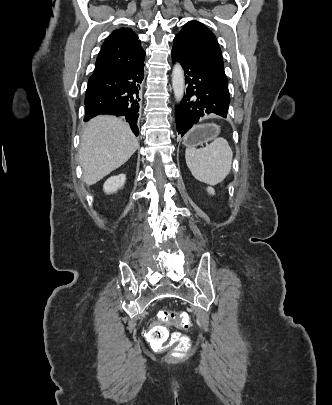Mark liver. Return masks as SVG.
Instances as JSON below:
<instances>
[{
	"mask_svg": "<svg viewBox=\"0 0 332 405\" xmlns=\"http://www.w3.org/2000/svg\"><path fill=\"white\" fill-rule=\"evenodd\" d=\"M139 148V142L121 118L102 115L88 122L81 134L79 162L90 186L122 166Z\"/></svg>",
	"mask_w": 332,
	"mask_h": 405,
	"instance_id": "obj_1",
	"label": "liver"
}]
</instances>
